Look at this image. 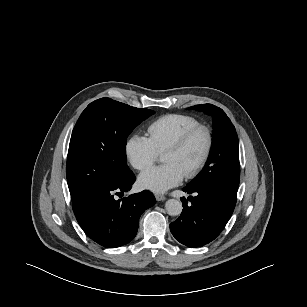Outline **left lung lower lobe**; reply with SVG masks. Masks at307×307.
<instances>
[{
	"instance_id": "obj_1",
	"label": "left lung lower lobe",
	"mask_w": 307,
	"mask_h": 307,
	"mask_svg": "<svg viewBox=\"0 0 307 307\" xmlns=\"http://www.w3.org/2000/svg\"><path fill=\"white\" fill-rule=\"evenodd\" d=\"M183 191L196 196L185 198L183 211L170 224L173 236L188 247H200L214 240L230 219L236 201L212 186H186Z\"/></svg>"
}]
</instances>
